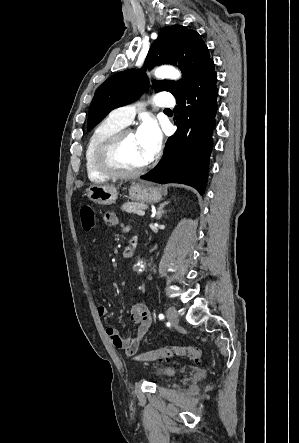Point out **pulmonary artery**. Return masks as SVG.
I'll use <instances>...</instances> for the list:
<instances>
[{
  "label": "pulmonary artery",
  "instance_id": "obj_1",
  "mask_svg": "<svg viewBox=\"0 0 299 443\" xmlns=\"http://www.w3.org/2000/svg\"><path fill=\"white\" fill-rule=\"evenodd\" d=\"M151 103L160 108H170L172 105H174L175 99L171 93L163 92L156 94L151 99ZM139 109L140 105L138 104L127 105L113 110L110 116L127 126L132 122Z\"/></svg>",
  "mask_w": 299,
  "mask_h": 443
}]
</instances>
